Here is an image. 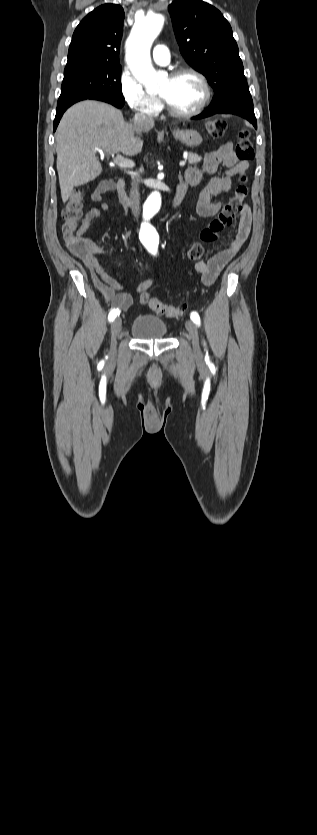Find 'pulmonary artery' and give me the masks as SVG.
<instances>
[{
	"label": "pulmonary artery",
	"instance_id": "pulmonary-artery-1",
	"mask_svg": "<svg viewBox=\"0 0 317 835\" xmlns=\"http://www.w3.org/2000/svg\"><path fill=\"white\" fill-rule=\"evenodd\" d=\"M153 60L160 65H166L170 62V53L168 48L163 44H157L152 51Z\"/></svg>",
	"mask_w": 317,
	"mask_h": 835
}]
</instances>
